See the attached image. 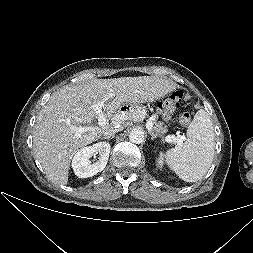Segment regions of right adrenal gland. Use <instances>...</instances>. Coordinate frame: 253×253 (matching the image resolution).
I'll return each instance as SVG.
<instances>
[{"instance_id": "2a0ac1e0", "label": "right adrenal gland", "mask_w": 253, "mask_h": 253, "mask_svg": "<svg viewBox=\"0 0 253 253\" xmlns=\"http://www.w3.org/2000/svg\"><path fill=\"white\" fill-rule=\"evenodd\" d=\"M113 138H114V135L109 136V137H104V139H113Z\"/></svg>"}]
</instances>
